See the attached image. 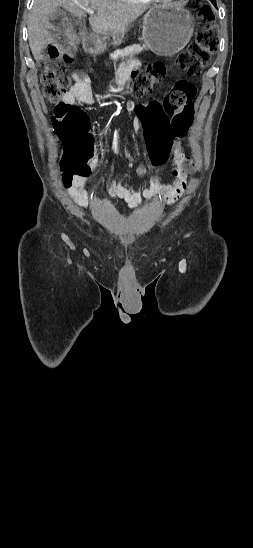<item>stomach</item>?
<instances>
[{"instance_id": "stomach-1", "label": "stomach", "mask_w": 253, "mask_h": 548, "mask_svg": "<svg viewBox=\"0 0 253 548\" xmlns=\"http://www.w3.org/2000/svg\"><path fill=\"white\" fill-rule=\"evenodd\" d=\"M194 23L191 14L173 4L157 5L145 15L142 39L150 50L161 56H171L182 50L193 35ZM123 39H113L112 45L119 46ZM106 45L100 39L89 47V51L98 54L104 52Z\"/></svg>"}]
</instances>
